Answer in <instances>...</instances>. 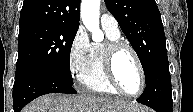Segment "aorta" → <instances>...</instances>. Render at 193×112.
Returning a JSON list of instances; mask_svg holds the SVG:
<instances>
[{"label":"aorta","instance_id":"762f6f07","mask_svg":"<svg viewBox=\"0 0 193 112\" xmlns=\"http://www.w3.org/2000/svg\"><path fill=\"white\" fill-rule=\"evenodd\" d=\"M81 19L88 31L92 33L93 41H102L104 35L99 28L100 0H82Z\"/></svg>","mask_w":193,"mask_h":112}]
</instances>
